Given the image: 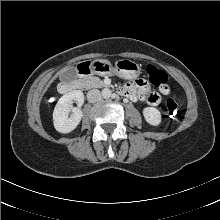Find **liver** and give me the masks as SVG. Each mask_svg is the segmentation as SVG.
<instances>
[{"instance_id": "6515ba94", "label": "liver", "mask_w": 220, "mask_h": 220, "mask_svg": "<svg viewBox=\"0 0 220 220\" xmlns=\"http://www.w3.org/2000/svg\"><path fill=\"white\" fill-rule=\"evenodd\" d=\"M99 60H101V61H108L107 59H99Z\"/></svg>"}]
</instances>
